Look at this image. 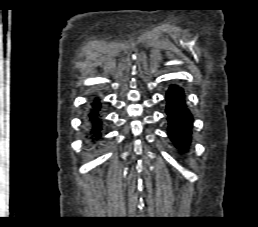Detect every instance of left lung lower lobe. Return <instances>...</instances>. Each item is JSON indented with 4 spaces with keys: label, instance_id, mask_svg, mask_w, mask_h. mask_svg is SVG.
Masks as SVG:
<instances>
[{
    "label": "left lung lower lobe",
    "instance_id": "1",
    "mask_svg": "<svg viewBox=\"0 0 258 227\" xmlns=\"http://www.w3.org/2000/svg\"><path fill=\"white\" fill-rule=\"evenodd\" d=\"M165 99L168 135L176 148L186 152L191 144L193 117L186 106L184 90L171 85Z\"/></svg>",
    "mask_w": 258,
    "mask_h": 227
}]
</instances>
